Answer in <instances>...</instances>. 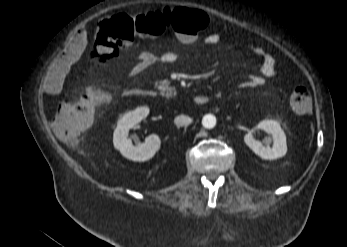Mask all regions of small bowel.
Instances as JSON below:
<instances>
[{"label":"small bowel","mask_w":347,"mask_h":247,"mask_svg":"<svg viewBox=\"0 0 347 247\" xmlns=\"http://www.w3.org/2000/svg\"><path fill=\"white\" fill-rule=\"evenodd\" d=\"M220 40L218 34H210L206 36L205 43L209 45H218ZM85 46L86 36L84 32H79L70 41L67 50L51 63L48 73V82L53 91L58 90L61 84V77L66 69H68L73 57L78 56L85 49ZM251 49L260 58L259 73L248 76L243 85L248 87H259L263 85L268 78L274 75L276 66L275 59L260 45H251ZM178 59L179 55L173 51L165 52L160 56H156L149 51H142L137 54V62L129 68L127 74L129 77H135L146 71L158 61L169 64L176 62Z\"/></svg>","instance_id":"small-bowel-1"}]
</instances>
